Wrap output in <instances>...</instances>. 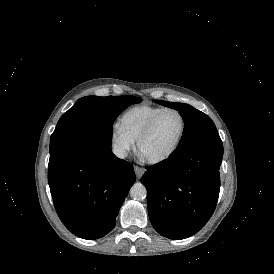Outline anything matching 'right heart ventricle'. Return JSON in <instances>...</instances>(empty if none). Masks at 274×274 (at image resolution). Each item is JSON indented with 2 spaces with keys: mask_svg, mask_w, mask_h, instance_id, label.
<instances>
[{
  "mask_svg": "<svg viewBox=\"0 0 274 274\" xmlns=\"http://www.w3.org/2000/svg\"><path fill=\"white\" fill-rule=\"evenodd\" d=\"M162 107L141 104L127 109L118 120L120 129L133 141Z\"/></svg>",
  "mask_w": 274,
  "mask_h": 274,
  "instance_id": "e07e8e85",
  "label": "right heart ventricle"
}]
</instances>
